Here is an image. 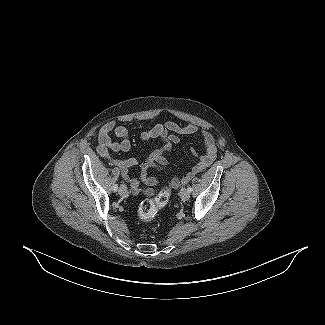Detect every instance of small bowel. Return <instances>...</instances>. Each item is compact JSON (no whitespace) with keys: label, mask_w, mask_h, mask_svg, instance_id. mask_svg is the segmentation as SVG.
Instances as JSON below:
<instances>
[{"label":"small bowel","mask_w":325,"mask_h":325,"mask_svg":"<svg viewBox=\"0 0 325 325\" xmlns=\"http://www.w3.org/2000/svg\"><path fill=\"white\" fill-rule=\"evenodd\" d=\"M198 127L195 124H187L180 126L173 121H166L155 125L154 127L141 132L142 140L160 139L163 141L161 148L155 149L147 153L141 162L135 158L117 159L111 155V152H128L131 148L129 131L126 127L118 125L114 121L106 123L99 135L97 152L100 156L108 159L113 165L117 166L123 179L127 181L134 194L142 191L138 178L129 175V169L140 164V179L148 185H154L155 179L148 177L147 170L150 167H165L168 164L166 154L171 151L173 145L180 141V136H189L197 133ZM111 134L115 135L119 140H114ZM202 140L205 146V153L198 156L195 150L193 154L198 157V162L183 178H174L171 185L178 189L181 185L186 184L196 173H199L210 166L216 157L215 139L208 131H202Z\"/></svg>","instance_id":"1"}]
</instances>
